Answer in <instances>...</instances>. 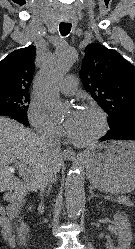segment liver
Masks as SVG:
<instances>
[{"label": "liver", "instance_id": "obj_1", "mask_svg": "<svg viewBox=\"0 0 135 249\" xmlns=\"http://www.w3.org/2000/svg\"><path fill=\"white\" fill-rule=\"evenodd\" d=\"M24 163L26 174L17 178L10 169V164ZM62 157L53 155L42 138L18 122L0 116V192L37 190L39 180L51 166L56 173L60 171Z\"/></svg>", "mask_w": 135, "mask_h": 249}]
</instances>
